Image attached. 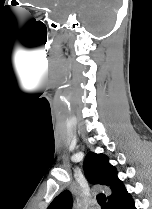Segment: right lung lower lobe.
<instances>
[{
  "label": "right lung lower lobe",
  "instance_id": "obj_1",
  "mask_svg": "<svg viewBox=\"0 0 152 209\" xmlns=\"http://www.w3.org/2000/svg\"><path fill=\"white\" fill-rule=\"evenodd\" d=\"M108 204L110 209H136L134 201L125 187Z\"/></svg>",
  "mask_w": 152,
  "mask_h": 209
}]
</instances>
